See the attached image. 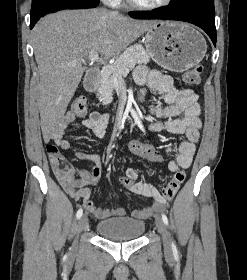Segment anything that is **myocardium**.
I'll return each instance as SVG.
<instances>
[{
    "label": "myocardium",
    "mask_w": 247,
    "mask_h": 280,
    "mask_svg": "<svg viewBox=\"0 0 247 280\" xmlns=\"http://www.w3.org/2000/svg\"><path fill=\"white\" fill-rule=\"evenodd\" d=\"M127 2L130 6L138 10L155 11L168 6L172 2V0H161L153 4H142L137 2L136 0H127Z\"/></svg>",
    "instance_id": "myocardium-1"
}]
</instances>
